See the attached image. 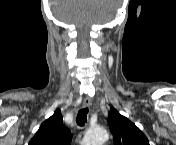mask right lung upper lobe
Listing matches in <instances>:
<instances>
[{"label": "right lung upper lobe", "mask_w": 176, "mask_h": 145, "mask_svg": "<svg viewBox=\"0 0 176 145\" xmlns=\"http://www.w3.org/2000/svg\"><path fill=\"white\" fill-rule=\"evenodd\" d=\"M71 132L62 124V114L57 109L44 121L29 145H70Z\"/></svg>", "instance_id": "right-lung-upper-lobe-1"}]
</instances>
